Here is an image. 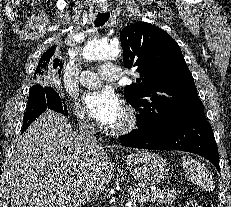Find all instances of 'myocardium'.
Wrapping results in <instances>:
<instances>
[{"instance_id":"myocardium-1","label":"myocardium","mask_w":231,"mask_h":207,"mask_svg":"<svg viewBox=\"0 0 231 207\" xmlns=\"http://www.w3.org/2000/svg\"><path fill=\"white\" fill-rule=\"evenodd\" d=\"M125 119L117 126H110L107 131L112 135H125L136 129L138 117L132 107L126 106L124 109Z\"/></svg>"}]
</instances>
